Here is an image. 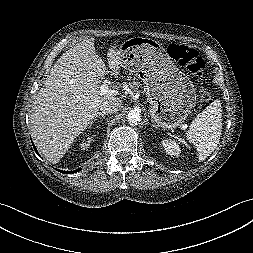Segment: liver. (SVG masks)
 <instances>
[{
  "mask_svg": "<svg viewBox=\"0 0 253 253\" xmlns=\"http://www.w3.org/2000/svg\"><path fill=\"white\" fill-rule=\"evenodd\" d=\"M108 49L110 69L118 77L120 54ZM105 63L93 39L82 41L56 61L33 102L31 135L45 158L56 164L74 140L98 114L103 102L116 94L102 95L100 80Z\"/></svg>",
  "mask_w": 253,
  "mask_h": 253,
  "instance_id": "obj_1",
  "label": "liver"
}]
</instances>
